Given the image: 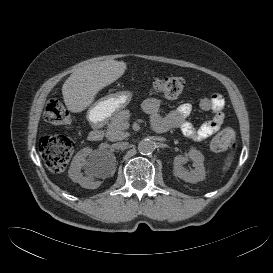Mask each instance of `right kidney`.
Listing matches in <instances>:
<instances>
[{"label": "right kidney", "mask_w": 273, "mask_h": 273, "mask_svg": "<svg viewBox=\"0 0 273 273\" xmlns=\"http://www.w3.org/2000/svg\"><path fill=\"white\" fill-rule=\"evenodd\" d=\"M91 152L92 151L89 148H84L79 151L72 160L68 174L72 181L79 183L82 187L95 189L99 184L88 181V179L82 175L81 168L86 167L88 175H94L97 177L108 176L112 172L113 168L105 161L95 159L91 155ZM87 156H89L88 160H86Z\"/></svg>", "instance_id": "obj_1"}]
</instances>
